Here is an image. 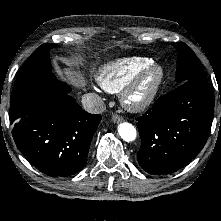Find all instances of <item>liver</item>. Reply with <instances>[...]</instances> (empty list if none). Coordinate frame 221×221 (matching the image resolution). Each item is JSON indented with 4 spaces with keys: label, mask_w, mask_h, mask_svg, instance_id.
Returning <instances> with one entry per match:
<instances>
[{
    "label": "liver",
    "mask_w": 221,
    "mask_h": 221,
    "mask_svg": "<svg viewBox=\"0 0 221 221\" xmlns=\"http://www.w3.org/2000/svg\"><path fill=\"white\" fill-rule=\"evenodd\" d=\"M60 73L74 86L78 88L85 86V78L80 72L67 67L62 69Z\"/></svg>",
    "instance_id": "liver-1"
}]
</instances>
